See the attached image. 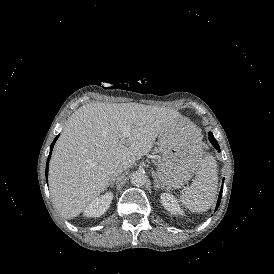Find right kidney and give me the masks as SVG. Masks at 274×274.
Listing matches in <instances>:
<instances>
[{"label": "right kidney", "mask_w": 274, "mask_h": 274, "mask_svg": "<svg viewBox=\"0 0 274 274\" xmlns=\"http://www.w3.org/2000/svg\"><path fill=\"white\" fill-rule=\"evenodd\" d=\"M113 199L112 193H105L100 197L94 198L84 209L83 216L85 217H100L110 207Z\"/></svg>", "instance_id": "right-kidney-1"}]
</instances>
